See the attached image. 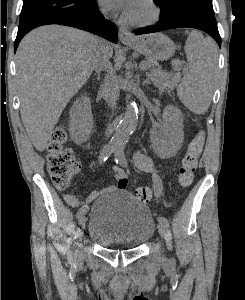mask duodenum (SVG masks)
Wrapping results in <instances>:
<instances>
[{
  "instance_id": "1",
  "label": "duodenum",
  "mask_w": 245,
  "mask_h": 300,
  "mask_svg": "<svg viewBox=\"0 0 245 300\" xmlns=\"http://www.w3.org/2000/svg\"><path fill=\"white\" fill-rule=\"evenodd\" d=\"M115 123L108 124V130L112 131L114 129Z\"/></svg>"
}]
</instances>
